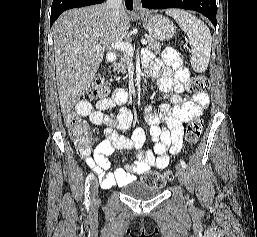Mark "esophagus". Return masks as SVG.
<instances>
[{
  "instance_id": "34e87169",
  "label": "esophagus",
  "mask_w": 257,
  "mask_h": 237,
  "mask_svg": "<svg viewBox=\"0 0 257 237\" xmlns=\"http://www.w3.org/2000/svg\"><path fill=\"white\" fill-rule=\"evenodd\" d=\"M133 6L135 12H142L141 0H133Z\"/></svg>"
}]
</instances>
